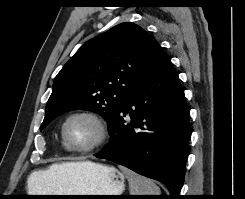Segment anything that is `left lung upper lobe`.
<instances>
[{
    "instance_id": "5c2ea615",
    "label": "left lung upper lobe",
    "mask_w": 245,
    "mask_h": 199,
    "mask_svg": "<svg viewBox=\"0 0 245 199\" xmlns=\"http://www.w3.org/2000/svg\"><path fill=\"white\" fill-rule=\"evenodd\" d=\"M163 54L158 42L134 23H121L87 41L53 83L40 130L60 114L84 109L109 124L122 102L148 77Z\"/></svg>"
}]
</instances>
